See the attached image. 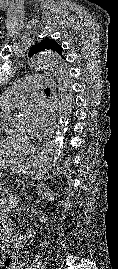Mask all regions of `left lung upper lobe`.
I'll return each instance as SVG.
<instances>
[{
	"label": "left lung upper lobe",
	"mask_w": 118,
	"mask_h": 269,
	"mask_svg": "<svg viewBox=\"0 0 118 269\" xmlns=\"http://www.w3.org/2000/svg\"><path fill=\"white\" fill-rule=\"evenodd\" d=\"M51 50L57 52L58 54L62 55V47L53 39H45L41 41L39 44L30 48L28 56H33L37 52Z\"/></svg>",
	"instance_id": "5c2ea615"
}]
</instances>
